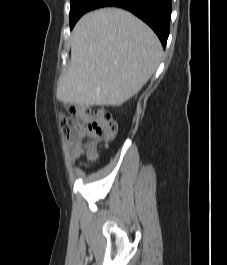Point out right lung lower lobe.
<instances>
[{
  "label": "right lung lower lobe",
  "mask_w": 227,
  "mask_h": 265,
  "mask_svg": "<svg viewBox=\"0 0 227 265\" xmlns=\"http://www.w3.org/2000/svg\"><path fill=\"white\" fill-rule=\"evenodd\" d=\"M108 6L123 8L138 16L154 30L165 47L170 32L172 0H97L92 10Z\"/></svg>",
  "instance_id": "1"
}]
</instances>
